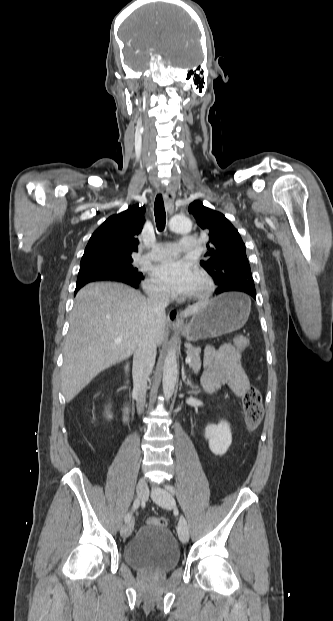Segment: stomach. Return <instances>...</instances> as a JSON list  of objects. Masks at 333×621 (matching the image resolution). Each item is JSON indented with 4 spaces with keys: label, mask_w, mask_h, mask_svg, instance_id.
I'll list each match as a JSON object with an SVG mask.
<instances>
[{
    "label": "stomach",
    "mask_w": 333,
    "mask_h": 621,
    "mask_svg": "<svg viewBox=\"0 0 333 621\" xmlns=\"http://www.w3.org/2000/svg\"><path fill=\"white\" fill-rule=\"evenodd\" d=\"M250 302L242 293H224L205 302L193 315L186 339L215 338L241 328L248 320Z\"/></svg>",
    "instance_id": "stomach-1"
}]
</instances>
